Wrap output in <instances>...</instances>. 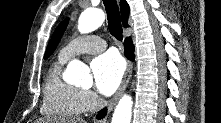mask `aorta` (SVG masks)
<instances>
[{
    "instance_id": "762f6f07",
    "label": "aorta",
    "mask_w": 221,
    "mask_h": 123,
    "mask_svg": "<svg viewBox=\"0 0 221 123\" xmlns=\"http://www.w3.org/2000/svg\"><path fill=\"white\" fill-rule=\"evenodd\" d=\"M105 20L101 9L87 8L78 20V30L82 34L90 33L99 28ZM67 73L71 82L88 86L92 84V76L87 67L79 60H72L67 66ZM132 98L124 95L115 108L111 123H130L132 116Z\"/></svg>"
}]
</instances>
